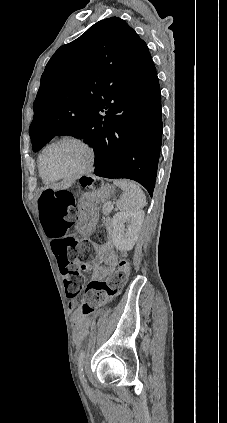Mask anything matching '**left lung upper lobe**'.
<instances>
[{"mask_svg":"<svg viewBox=\"0 0 227 423\" xmlns=\"http://www.w3.org/2000/svg\"><path fill=\"white\" fill-rule=\"evenodd\" d=\"M156 73L146 43L111 17L61 46L47 63L29 128L33 151L57 135L90 138L101 112H132Z\"/></svg>","mask_w":227,"mask_h":423,"instance_id":"obj_1","label":"left lung upper lobe"}]
</instances>
